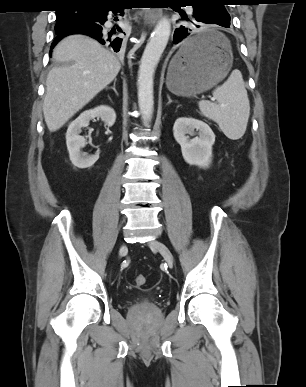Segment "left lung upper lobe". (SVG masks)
<instances>
[{
  "mask_svg": "<svg viewBox=\"0 0 306 387\" xmlns=\"http://www.w3.org/2000/svg\"><path fill=\"white\" fill-rule=\"evenodd\" d=\"M185 3H207L212 7L216 17L225 21H230V16L224 7L225 0H185Z\"/></svg>",
  "mask_w": 306,
  "mask_h": 387,
  "instance_id": "5c2ea615",
  "label": "left lung upper lobe"
}]
</instances>
